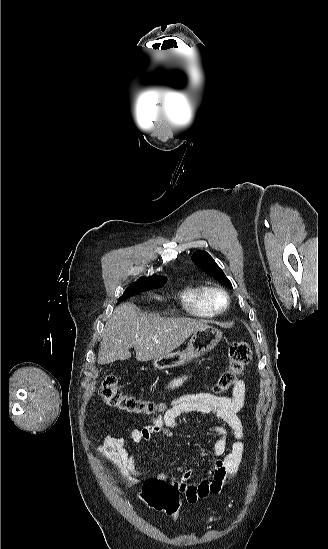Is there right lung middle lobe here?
Returning a JSON list of instances; mask_svg holds the SVG:
<instances>
[{"label": "right lung middle lobe", "instance_id": "dd1d6c3e", "mask_svg": "<svg viewBox=\"0 0 328 549\" xmlns=\"http://www.w3.org/2000/svg\"><path fill=\"white\" fill-rule=\"evenodd\" d=\"M164 283H165L164 278H160L155 275L150 277L148 280L144 278H140L137 282L133 283L129 288L125 290L123 295L119 298L118 303L122 302L125 299H128L129 297H131L136 293L151 290L156 287H160Z\"/></svg>", "mask_w": 328, "mask_h": 549}]
</instances>
